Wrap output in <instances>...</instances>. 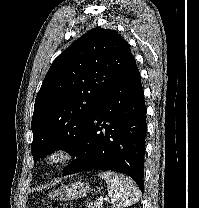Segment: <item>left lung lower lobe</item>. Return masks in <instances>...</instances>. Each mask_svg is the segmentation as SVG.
Masks as SVG:
<instances>
[{"mask_svg":"<svg viewBox=\"0 0 199 208\" xmlns=\"http://www.w3.org/2000/svg\"><path fill=\"white\" fill-rule=\"evenodd\" d=\"M146 105L140 73L134 61L105 93L88 120L63 175L92 169L122 172L143 192Z\"/></svg>","mask_w":199,"mask_h":208,"instance_id":"left-lung-lower-lobe-1","label":"left lung lower lobe"}]
</instances>
